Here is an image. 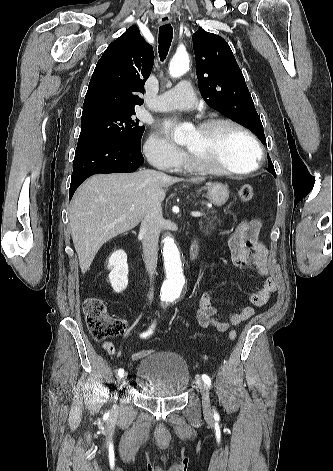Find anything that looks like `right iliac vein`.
I'll return each mask as SVG.
<instances>
[{
	"instance_id": "63e3f726",
	"label": "right iliac vein",
	"mask_w": 333,
	"mask_h": 471,
	"mask_svg": "<svg viewBox=\"0 0 333 471\" xmlns=\"http://www.w3.org/2000/svg\"><path fill=\"white\" fill-rule=\"evenodd\" d=\"M127 378V373L123 374L120 378H119V385H121ZM119 387V386H118ZM118 389V388H117Z\"/></svg>"
}]
</instances>
